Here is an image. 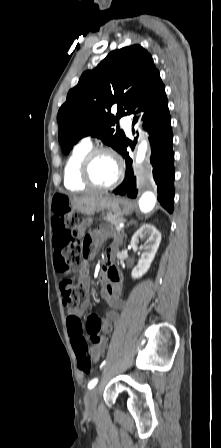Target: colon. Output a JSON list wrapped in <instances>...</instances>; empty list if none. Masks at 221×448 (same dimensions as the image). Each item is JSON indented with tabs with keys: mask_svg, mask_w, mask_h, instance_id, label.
<instances>
[{
	"mask_svg": "<svg viewBox=\"0 0 221 448\" xmlns=\"http://www.w3.org/2000/svg\"><path fill=\"white\" fill-rule=\"evenodd\" d=\"M69 208V199L66 196L54 197L52 210L59 217L53 222L55 230L53 237L54 265L56 270L63 275L60 283L63 305L71 310L77 307L85 295V287L75 283L69 275L75 267L89 259L91 241L90 238L82 237L79 234V217L75 212L69 213ZM67 327L73 340L77 368L84 374H89L92 368L89 346L86 341L79 339L83 334V324L80 319L69 317ZM100 328L99 317L91 313L86 319L85 331L94 346L102 341L99 334Z\"/></svg>",
	"mask_w": 221,
	"mask_h": 448,
	"instance_id": "1",
	"label": "colon"
}]
</instances>
